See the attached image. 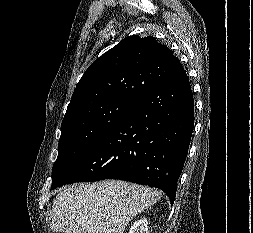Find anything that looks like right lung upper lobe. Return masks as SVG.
<instances>
[{
    "label": "right lung upper lobe",
    "instance_id": "cb5924a9",
    "mask_svg": "<svg viewBox=\"0 0 253 233\" xmlns=\"http://www.w3.org/2000/svg\"><path fill=\"white\" fill-rule=\"evenodd\" d=\"M182 69L172 51L153 36L124 38L88 67L76 85L65 115L110 98L136 100Z\"/></svg>",
    "mask_w": 253,
    "mask_h": 233
}]
</instances>
